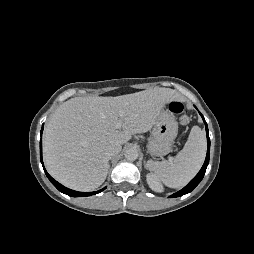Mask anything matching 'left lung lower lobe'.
<instances>
[{"label":"left lung lower lobe","mask_w":254,"mask_h":254,"mask_svg":"<svg viewBox=\"0 0 254 254\" xmlns=\"http://www.w3.org/2000/svg\"><path fill=\"white\" fill-rule=\"evenodd\" d=\"M200 115L202 116L203 121L205 123L206 134H207V143H208V145H207V155H206L205 162H204L201 170L199 171V173L189 182V184L187 186H185L183 189H181L180 191H178L177 193H174L171 197H180L182 195H185V194L191 192L200 183V181L204 177L206 168L208 166L209 157H210V138H209V134H208L207 123H206L203 115L201 113H200Z\"/></svg>","instance_id":"1"}]
</instances>
